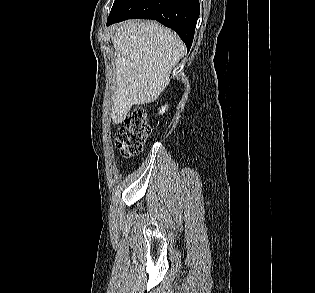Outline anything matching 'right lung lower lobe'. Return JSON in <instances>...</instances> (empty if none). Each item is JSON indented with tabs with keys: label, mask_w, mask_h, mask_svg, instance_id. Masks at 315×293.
<instances>
[{
	"label": "right lung lower lobe",
	"mask_w": 315,
	"mask_h": 293,
	"mask_svg": "<svg viewBox=\"0 0 315 293\" xmlns=\"http://www.w3.org/2000/svg\"><path fill=\"white\" fill-rule=\"evenodd\" d=\"M199 12V0H115L107 25L131 18L157 20L173 29L189 51Z\"/></svg>",
	"instance_id": "right-lung-lower-lobe-1"
}]
</instances>
